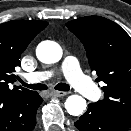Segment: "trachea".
Instances as JSON below:
<instances>
[{"label": "trachea", "mask_w": 131, "mask_h": 131, "mask_svg": "<svg viewBox=\"0 0 131 131\" xmlns=\"http://www.w3.org/2000/svg\"><path fill=\"white\" fill-rule=\"evenodd\" d=\"M20 82L22 83L23 86H25V87H27L29 89H32V90L42 91V90L48 89V87L45 84H41V83H38V84H27V83H25L22 80ZM55 89L59 90V91H69L70 90V86L68 84H66V83H58L55 86Z\"/></svg>", "instance_id": "trachea-1"}]
</instances>
